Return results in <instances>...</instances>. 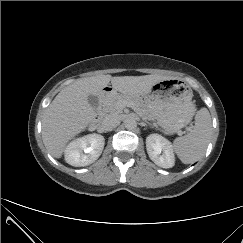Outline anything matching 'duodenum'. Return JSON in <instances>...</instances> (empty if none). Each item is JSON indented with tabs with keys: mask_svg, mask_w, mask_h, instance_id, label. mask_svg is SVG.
Returning a JSON list of instances; mask_svg holds the SVG:
<instances>
[{
	"mask_svg": "<svg viewBox=\"0 0 243 243\" xmlns=\"http://www.w3.org/2000/svg\"><path fill=\"white\" fill-rule=\"evenodd\" d=\"M112 94H113V90L111 88H105L102 91V93L100 95V100H99V108H98L96 115L91 120L90 127L94 128L99 124V122L104 114L105 107H106L108 101L110 100Z\"/></svg>",
	"mask_w": 243,
	"mask_h": 243,
	"instance_id": "1",
	"label": "duodenum"
}]
</instances>
